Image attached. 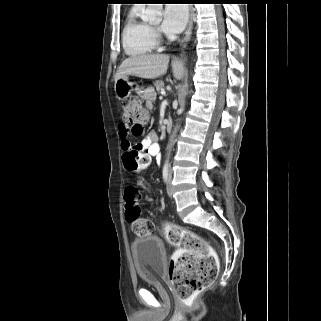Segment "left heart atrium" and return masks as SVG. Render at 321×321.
I'll use <instances>...</instances> for the list:
<instances>
[{"mask_svg": "<svg viewBox=\"0 0 321 321\" xmlns=\"http://www.w3.org/2000/svg\"><path fill=\"white\" fill-rule=\"evenodd\" d=\"M188 19V9L184 4H167L161 24L165 33L176 34L183 30Z\"/></svg>", "mask_w": 321, "mask_h": 321, "instance_id": "1", "label": "left heart atrium"}]
</instances>
